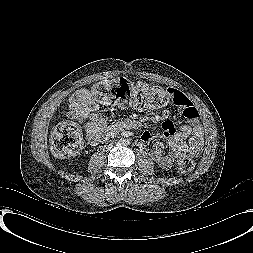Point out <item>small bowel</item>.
I'll return each instance as SVG.
<instances>
[{"label": "small bowel", "mask_w": 253, "mask_h": 253, "mask_svg": "<svg viewBox=\"0 0 253 253\" xmlns=\"http://www.w3.org/2000/svg\"><path fill=\"white\" fill-rule=\"evenodd\" d=\"M169 90L176 94L172 102L183 110V115L191 122V125H183L176 130L167 115H157L164 128L163 136L167 140L168 152L166 153L163 150V144L157 140L158 134L144 131L141 135V141L145 144L156 141L149 154L164 170L170 169L182 155L198 156L203 150V130L198 123L197 107L184 93L172 88ZM97 109L98 105L88 89L77 90L69 98L68 115L84 126L87 140L92 145L99 144L120 129L132 126L131 120L108 126L105 119L97 114Z\"/></svg>", "instance_id": "obj_1"}]
</instances>
